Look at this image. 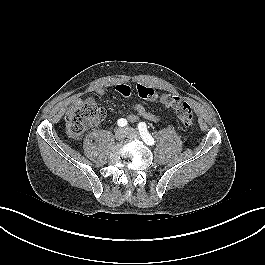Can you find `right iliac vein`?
<instances>
[{"label":"right iliac vein","instance_id":"obj_1","mask_svg":"<svg viewBox=\"0 0 265 265\" xmlns=\"http://www.w3.org/2000/svg\"><path fill=\"white\" fill-rule=\"evenodd\" d=\"M127 136V132L125 129L119 128L116 130L114 137L116 140H123Z\"/></svg>","mask_w":265,"mask_h":265}]
</instances>
